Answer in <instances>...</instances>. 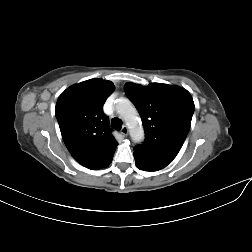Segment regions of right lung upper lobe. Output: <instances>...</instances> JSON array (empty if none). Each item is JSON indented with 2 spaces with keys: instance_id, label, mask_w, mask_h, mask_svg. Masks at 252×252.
Returning <instances> with one entry per match:
<instances>
[{
  "instance_id": "right-lung-upper-lobe-1",
  "label": "right lung upper lobe",
  "mask_w": 252,
  "mask_h": 252,
  "mask_svg": "<svg viewBox=\"0 0 252 252\" xmlns=\"http://www.w3.org/2000/svg\"><path fill=\"white\" fill-rule=\"evenodd\" d=\"M114 90L111 81L90 79L69 87L57 100L55 115L63 141L73 158L91 170L106 168L118 145L103 113Z\"/></svg>"
}]
</instances>
